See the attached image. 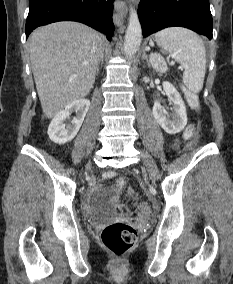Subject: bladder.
I'll use <instances>...</instances> for the list:
<instances>
[{
    "mask_svg": "<svg viewBox=\"0 0 233 284\" xmlns=\"http://www.w3.org/2000/svg\"><path fill=\"white\" fill-rule=\"evenodd\" d=\"M112 195L113 192L111 189L107 187H100L91 194L90 201L97 205L103 206L110 201Z\"/></svg>",
    "mask_w": 233,
    "mask_h": 284,
    "instance_id": "bladder-1",
    "label": "bladder"
}]
</instances>
